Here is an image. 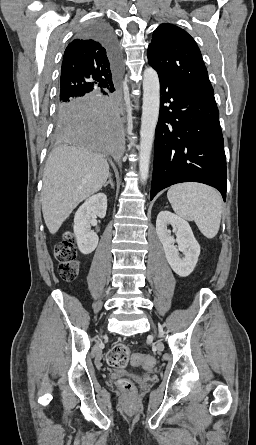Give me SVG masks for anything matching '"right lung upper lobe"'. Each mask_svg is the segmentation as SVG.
I'll use <instances>...</instances> for the list:
<instances>
[{
  "label": "right lung upper lobe",
  "mask_w": 256,
  "mask_h": 445,
  "mask_svg": "<svg viewBox=\"0 0 256 445\" xmlns=\"http://www.w3.org/2000/svg\"><path fill=\"white\" fill-rule=\"evenodd\" d=\"M116 73L105 47L82 31L65 50L58 101L109 90Z\"/></svg>",
  "instance_id": "1"
}]
</instances>
